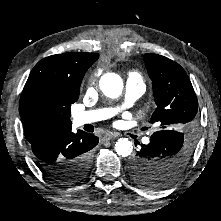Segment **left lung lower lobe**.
<instances>
[{"label":"left lung lower lobe","instance_id":"obj_1","mask_svg":"<svg viewBox=\"0 0 221 221\" xmlns=\"http://www.w3.org/2000/svg\"><path fill=\"white\" fill-rule=\"evenodd\" d=\"M174 137L175 135L171 130H162L155 132L151 136L149 144L147 145L141 144V148L139 149V151H137V154L134 156V158L131 159L129 164L130 175L134 181L141 179L142 174L146 173L144 172V170H148V168H146L148 166V159H150L151 156H153L156 153V150L159 149V146L164 141L173 140ZM153 174L155 175L154 177H157L160 173L155 172ZM175 180H172L169 184H171Z\"/></svg>","mask_w":221,"mask_h":221}]
</instances>
